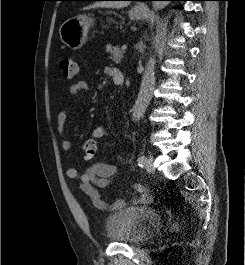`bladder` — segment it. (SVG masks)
<instances>
[{
	"mask_svg": "<svg viewBox=\"0 0 245 265\" xmlns=\"http://www.w3.org/2000/svg\"><path fill=\"white\" fill-rule=\"evenodd\" d=\"M161 222V215L153 208L130 206L107 218L105 235L116 243L139 244L150 239Z\"/></svg>",
	"mask_w": 245,
	"mask_h": 265,
	"instance_id": "31cf9c89",
	"label": "bladder"
}]
</instances>
